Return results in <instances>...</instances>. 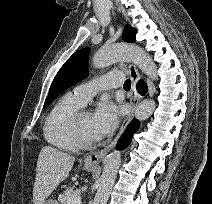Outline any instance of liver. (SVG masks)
I'll return each mask as SVG.
<instances>
[{"mask_svg":"<svg viewBox=\"0 0 212 204\" xmlns=\"http://www.w3.org/2000/svg\"><path fill=\"white\" fill-rule=\"evenodd\" d=\"M75 157L51 146H44L38 156L33 188V203L43 204L46 198L64 181Z\"/></svg>","mask_w":212,"mask_h":204,"instance_id":"obj_1","label":"liver"}]
</instances>
